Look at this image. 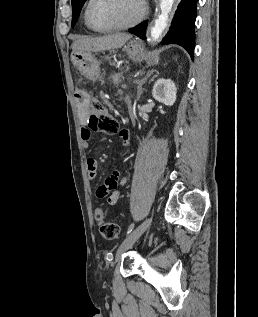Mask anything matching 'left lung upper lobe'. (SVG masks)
Instances as JSON below:
<instances>
[{"instance_id": "left-lung-upper-lobe-1", "label": "left lung upper lobe", "mask_w": 258, "mask_h": 317, "mask_svg": "<svg viewBox=\"0 0 258 317\" xmlns=\"http://www.w3.org/2000/svg\"><path fill=\"white\" fill-rule=\"evenodd\" d=\"M85 1L86 0H72V26L76 24Z\"/></svg>"}]
</instances>
